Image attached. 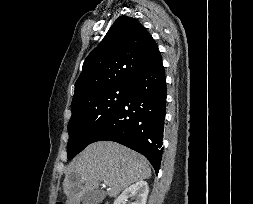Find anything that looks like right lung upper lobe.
Instances as JSON below:
<instances>
[{
  "label": "right lung upper lobe",
  "instance_id": "obj_1",
  "mask_svg": "<svg viewBox=\"0 0 253 204\" xmlns=\"http://www.w3.org/2000/svg\"><path fill=\"white\" fill-rule=\"evenodd\" d=\"M157 52L145 27L132 17L120 16L85 59L71 106L110 87L129 85Z\"/></svg>",
  "mask_w": 253,
  "mask_h": 204
}]
</instances>
